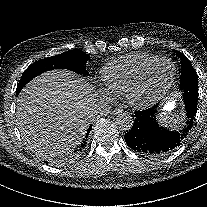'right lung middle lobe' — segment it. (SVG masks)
Returning <instances> with one entry per match:
<instances>
[{"label": "right lung middle lobe", "mask_w": 207, "mask_h": 207, "mask_svg": "<svg viewBox=\"0 0 207 207\" xmlns=\"http://www.w3.org/2000/svg\"><path fill=\"white\" fill-rule=\"evenodd\" d=\"M89 55L81 50H71L56 56L38 60L31 64L23 73L16 89L19 94L22 88L37 75L52 69H68L81 75H88L86 62Z\"/></svg>", "instance_id": "1"}]
</instances>
